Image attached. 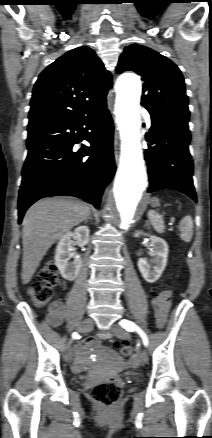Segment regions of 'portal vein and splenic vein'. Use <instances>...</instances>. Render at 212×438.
Here are the masks:
<instances>
[{
    "label": "portal vein and splenic vein",
    "instance_id": "18ae733b",
    "mask_svg": "<svg viewBox=\"0 0 212 438\" xmlns=\"http://www.w3.org/2000/svg\"><path fill=\"white\" fill-rule=\"evenodd\" d=\"M174 221H175V219L171 218V220H170V222L168 224L172 226L174 224Z\"/></svg>",
    "mask_w": 212,
    "mask_h": 438
}]
</instances>
